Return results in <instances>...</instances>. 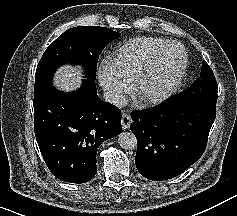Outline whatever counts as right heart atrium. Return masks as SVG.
Returning a JSON list of instances; mask_svg holds the SVG:
<instances>
[{"mask_svg": "<svg viewBox=\"0 0 237 216\" xmlns=\"http://www.w3.org/2000/svg\"><path fill=\"white\" fill-rule=\"evenodd\" d=\"M100 82L110 99L119 102L128 95V86L116 79L108 70L105 63H101L98 70Z\"/></svg>", "mask_w": 237, "mask_h": 216, "instance_id": "right-heart-atrium-1", "label": "right heart atrium"}]
</instances>
